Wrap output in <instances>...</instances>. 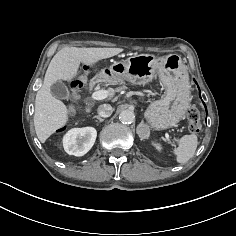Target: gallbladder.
<instances>
[{
    "mask_svg": "<svg viewBox=\"0 0 236 236\" xmlns=\"http://www.w3.org/2000/svg\"><path fill=\"white\" fill-rule=\"evenodd\" d=\"M52 96L58 99H69L70 92L67 86L62 81L53 83L50 87Z\"/></svg>",
    "mask_w": 236,
    "mask_h": 236,
    "instance_id": "bac80fb5",
    "label": "gallbladder"
}]
</instances>
